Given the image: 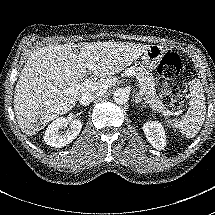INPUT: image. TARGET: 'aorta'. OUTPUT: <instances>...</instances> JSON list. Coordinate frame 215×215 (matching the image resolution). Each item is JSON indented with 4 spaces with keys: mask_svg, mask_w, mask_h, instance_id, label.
Masks as SVG:
<instances>
[{
    "mask_svg": "<svg viewBox=\"0 0 215 215\" xmlns=\"http://www.w3.org/2000/svg\"><path fill=\"white\" fill-rule=\"evenodd\" d=\"M113 99L117 104H125L129 100V93L125 89H117L113 93Z\"/></svg>",
    "mask_w": 215,
    "mask_h": 215,
    "instance_id": "762f6f07",
    "label": "aorta"
}]
</instances>
